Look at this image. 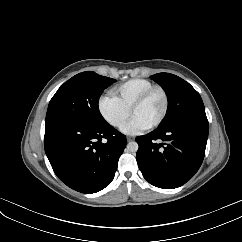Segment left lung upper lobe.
I'll use <instances>...</instances> for the list:
<instances>
[{
    "label": "left lung upper lobe",
    "mask_w": 242,
    "mask_h": 242,
    "mask_svg": "<svg viewBox=\"0 0 242 242\" xmlns=\"http://www.w3.org/2000/svg\"><path fill=\"white\" fill-rule=\"evenodd\" d=\"M151 78L163 87L168 96L167 113L158 127L189 115L205 114L199 93L188 82L170 73H158Z\"/></svg>",
    "instance_id": "5c2ea615"
}]
</instances>
